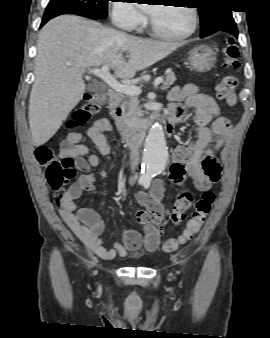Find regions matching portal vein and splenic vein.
<instances>
[{"instance_id":"18ae733b","label":"portal vein and splenic vein","mask_w":270,"mask_h":338,"mask_svg":"<svg viewBox=\"0 0 270 338\" xmlns=\"http://www.w3.org/2000/svg\"><path fill=\"white\" fill-rule=\"evenodd\" d=\"M89 73L94 74L95 76L102 79L105 83H107L112 89L116 92L123 93L126 95L137 96L141 94V88L136 85L131 84H122L118 82L114 77H112L109 73V69L107 65H104L102 68H93L89 69ZM163 77H158L153 82L154 86H158L162 83Z\"/></svg>"}]
</instances>
